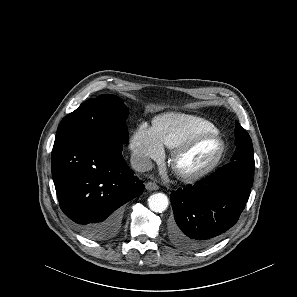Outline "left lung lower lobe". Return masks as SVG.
<instances>
[{
    "label": "left lung lower lobe",
    "instance_id": "obj_1",
    "mask_svg": "<svg viewBox=\"0 0 297 297\" xmlns=\"http://www.w3.org/2000/svg\"><path fill=\"white\" fill-rule=\"evenodd\" d=\"M255 162L231 161L192 186L173 191L171 241L187 250L219 240L239 219L253 185Z\"/></svg>",
    "mask_w": 297,
    "mask_h": 297
}]
</instances>
